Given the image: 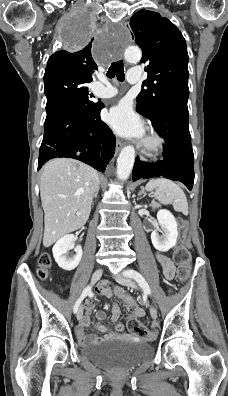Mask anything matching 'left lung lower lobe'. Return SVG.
I'll return each mask as SVG.
<instances>
[{
    "label": "left lung lower lobe",
    "mask_w": 228,
    "mask_h": 396,
    "mask_svg": "<svg viewBox=\"0 0 228 396\" xmlns=\"http://www.w3.org/2000/svg\"><path fill=\"white\" fill-rule=\"evenodd\" d=\"M187 101L188 98L167 101L157 108L154 117H147L152 121L158 135L166 140L164 159L150 164L136 158L132 172L133 181L140 178L148 179L163 176L180 181L189 190L192 189L194 155L188 126ZM138 112L142 114L140 111Z\"/></svg>",
    "instance_id": "0a47b994"
}]
</instances>
